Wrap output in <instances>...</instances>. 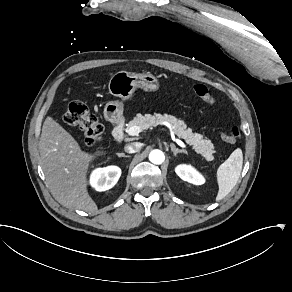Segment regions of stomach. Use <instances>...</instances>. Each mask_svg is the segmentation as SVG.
I'll list each match as a JSON object with an SVG mask.
<instances>
[{"label": "stomach", "instance_id": "0dacf381", "mask_svg": "<svg viewBox=\"0 0 292 292\" xmlns=\"http://www.w3.org/2000/svg\"><path fill=\"white\" fill-rule=\"evenodd\" d=\"M137 87L145 91H157L159 89V82L149 72L132 73L119 71L111 77L108 84L110 94L122 100L130 99ZM104 117L111 123H118L123 117V103L119 101L108 102L104 108Z\"/></svg>", "mask_w": 292, "mask_h": 292}]
</instances>
